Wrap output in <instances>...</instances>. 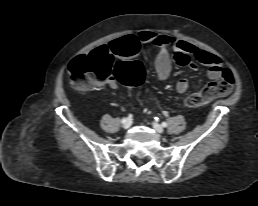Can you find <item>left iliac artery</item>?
<instances>
[{
    "label": "left iliac artery",
    "instance_id": "44dca946",
    "mask_svg": "<svg viewBox=\"0 0 258 206\" xmlns=\"http://www.w3.org/2000/svg\"><path fill=\"white\" fill-rule=\"evenodd\" d=\"M162 126L163 127H167V123L166 122H162Z\"/></svg>",
    "mask_w": 258,
    "mask_h": 206
}]
</instances>
